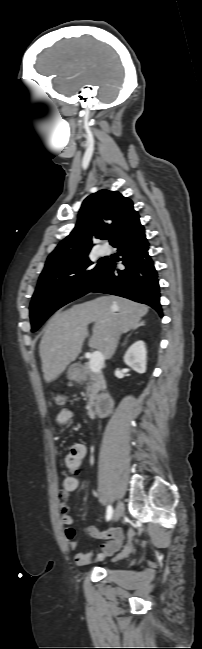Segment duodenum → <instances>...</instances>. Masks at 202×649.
<instances>
[{
  "label": "duodenum",
  "mask_w": 202,
  "mask_h": 649,
  "mask_svg": "<svg viewBox=\"0 0 202 649\" xmlns=\"http://www.w3.org/2000/svg\"><path fill=\"white\" fill-rule=\"evenodd\" d=\"M112 407L111 397L108 395H100L95 402L94 411L96 415L105 417L110 414Z\"/></svg>",
  "instance_id": "1"
}]
</instances>
